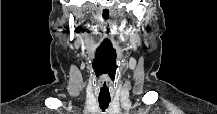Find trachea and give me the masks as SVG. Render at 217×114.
Masks as SVG:
<instances>
[{
	"label": "trachea",
	"instance_id": "1",
	"mask_svg": "<svg viewBox=\"0 0 217 114\" xmlns=\"http://www.w3.org/2000/svg\"><path fill=\"white\" fill-rule=\"evenodd\" d=\"M98 101H99V106L102 110L107 109L110 103V99H105V98H99Z\"/></svg>",
	"mask_w": 217,
	"mask_h": 114
}]
</instances>
